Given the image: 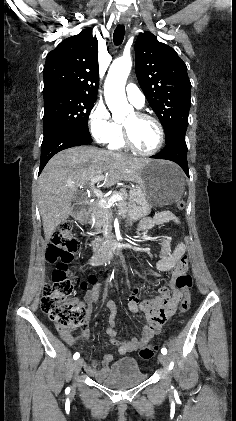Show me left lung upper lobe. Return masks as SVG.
<instances>
[{"label": "left lung upper lobe", "mask_w": 236, "mask_h": 421, "mask_svg": "<svg viewBox=\"0 0 236 421\" xmlns=\"http://www.w3.org/2000/svg\"><path fill=\"white\" fill-rule=\"evenodd\" d=\"M135 68L143 93L164 127L165 139L186 132L191 83L177 52L152 33H140L135 43Z\"/></svg>", "instance_id": "1"}]
</instances>
